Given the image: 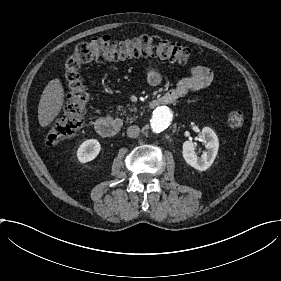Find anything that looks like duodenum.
Instances as JSON below:
<instances>
[{
  "label": "duodenum",
  "instance_id": "1",
  "mask_svg": "<svg viewBox=\"0 0 281 281\" xmlns=\"http://www.w3.org/2000/svg\"><path fill=\"white\" fill-rule=\"evenodd\" d=\"M170 104V100L165 96L156 97L149 102L150 107H157ZM97 132L104 137H113L118 134L120 125L112 118L102 117L95 123Z\"/></svg>",
  "mask_w": 281,
  "mask_h": 281
}]
</instances>
